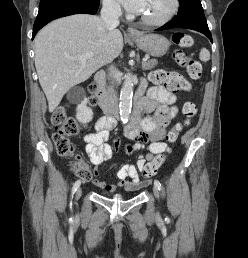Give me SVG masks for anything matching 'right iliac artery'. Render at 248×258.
<instances>
[{"label":"right iliac artery","instance_id":"1","mask_svg":"<svg viewBox=\"0 0 248 258\" xmlns=\"http://www.w3.org/2000/svg\"><path fill=\"white\" fill-rule=\"evenodd\" d=\"M81 182L80 180H77L74 185H73V188H72V194H74L76 192V190L78 189V187L80 186ZM71 203H70V207H71Z\"/></svg>","mask_w":248,"mask_h":258}]
</instances>
